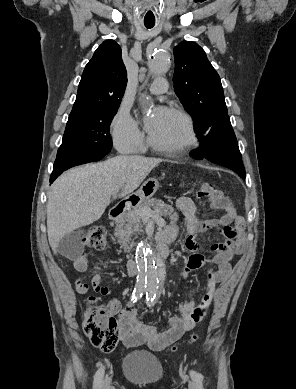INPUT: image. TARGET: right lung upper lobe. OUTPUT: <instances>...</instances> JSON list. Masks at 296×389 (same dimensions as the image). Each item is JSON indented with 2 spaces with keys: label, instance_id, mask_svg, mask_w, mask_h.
Instances as JSON below:
<instances>
[{
  "label": "right lung upper lobe",
  "instance_id": "cb5924a9",
  "mask_svg": "<svg viewBox=\"0 0 296 389\" xmlns=\"http://www.w3.org/2000/svg\"><path fill=\"white\" fill-rule=\"evenodd\" d=\"M126 83L121 48L114 40H106L84 69L68 120L81 118L94 109L119 106Z\"/></svg>",
  "mask_w": 296,
  "mask_h": 389
}]
</instances>
